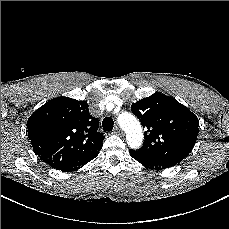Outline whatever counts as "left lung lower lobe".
<instances>
[{
    "label": "left lung lower lobe",
    "mask_w": 229,
    "mask_h": 229,
    "mask_svg": "<svg viewBox=\"0 0 229 229\" xmlns=\"http://www.w3.org/2000/svg\"><path fill=\"white\" fill-rule=\"evenodd\" d=\"M129 153L136 161L141 163L143 166L150 168V169H155V170H163L169 167H173L180 163V162H174V161L149 160V159L137 157L136 155L131 153V151H129Z\"/></svg>",
    "instance_id": "1"
}]
</instances>
